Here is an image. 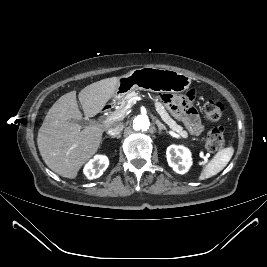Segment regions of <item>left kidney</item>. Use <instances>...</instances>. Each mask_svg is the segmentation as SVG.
<instances>
[{
  "instance_id": "1",
  "label": "left kidney",
  "mask_w": 267,
  "mask_h": 267,
  "mask_svg": "<svg viewBox=\"0 0 267 267\" xmlns=\"http://www.w3.org/2000/svg\"><path fill=\"white\" fill-rule=\"evenodd\" d=\"M167 161L170 167L178 174L188 172L191 164V152L182 145H170L166 151Z\"/></svg>"
}]
</instances>
